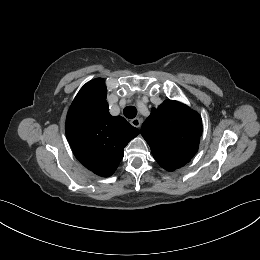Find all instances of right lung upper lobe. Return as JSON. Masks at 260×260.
<instances>
[{"label": "right lung upper lobe", "instance_id": "obj_1", "mask_svg": "<svg viewBox=\"0 0 260 260\" xmlns=\"http://www.w3.org/2000/svg\"><path fill=\"white\" fill-rule=\"evenodd\" d=\"M104 80L86 83L74 98L66 118V135L74 155L93 173L111 176L124 156V147L139 129L121 116H111Z\"/></svg>", "mask_w": 260, "mask_h": 260}]
</instances>
